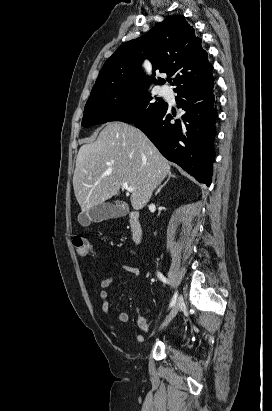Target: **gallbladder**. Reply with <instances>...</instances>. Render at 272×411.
<instances>
[{"label":"gallbladder","mask_w":272,"mask_h":411,"mask_svg":"<svg viewBox=\"0 0 272 411\" xmlns=\"http://www.w3.org/2000/svg\"><path fill=\"white\" fill-rule=\"evenodd\" d=\"M128 211V206L122 202H116L115 204L102 203L94 206L89 211L80 214L78 221L83 227H87L91 222L100 223L108 219L125 216Z\"/></svg>","instance_id":"gallbladder-1"}]
</instances>
